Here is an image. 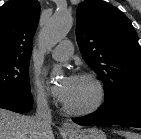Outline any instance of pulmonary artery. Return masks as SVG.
Here are the masks:
<instances>
[{"label":"pulmonary artery","instance_id":"obj_1","mask_svg":"<svg viewBox=\"0 0 141 139\" xmlns=\"http://www.w3.org/2000/svg\"><path fill=\"white\" fill-rule=\"evenodd\" d=\"M73 54V45L69 40L62 41L51 52V56L58 61H65Z\"/></svg>","mask_w":141,"mask_h":139}]
</instances>
